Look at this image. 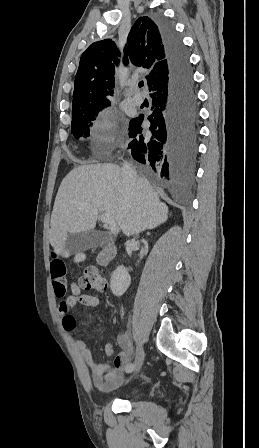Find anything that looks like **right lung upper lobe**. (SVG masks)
Segmentation results:
<instances>
[{
	"label": "right lung upper lobe",
	"instance_id": "1",
	"mask_svg": "<svg viewBox=\"0 0 259 448\" xmlns=\"http://www.w3.org/2000/svg\"><path fill=\"white\" fill-rule=\"evenodd\" d=\"M160 28L147 16L139 17L131 28L124 48V64L128 57L136 66L152 68L146 76L149 91L164 90L169 82V66ZM120 52L115 43L105 39L92 43L81 55L75 78L72 112L109 105L113 95L115 66Z\"/></svg>",
	"mask_w": 259,
	"mask_h": 448
}]
</instances>
